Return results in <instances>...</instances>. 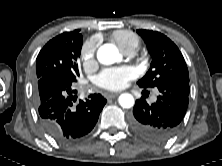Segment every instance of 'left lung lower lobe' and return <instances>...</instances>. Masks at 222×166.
Segmentation results:
<instances>
[{
	"label": "left lung lower lobe",
	"instance_id": "1",
	"mask_svg": "<svg viewBox=\"0 0 222 166\" xmlns=\"http://www.w3.org/2000/svg\"><path fill=\"white\" fill-rule=\"evenodd\" d=\"M160 95L153 104L136 100L130 123L141 138L162 143L179 130L189 102V82L168 80L157 86Z\"/></svg>",
	"mask_w": 222,
	"mask_h": 166
}]
</instances>
